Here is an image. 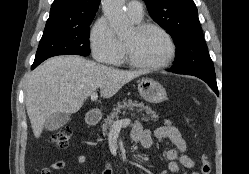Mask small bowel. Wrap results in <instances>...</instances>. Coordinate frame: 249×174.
<instances>
[{
    "mask_svg": "<svg viewBox=\"0 0 249 174\" xmlns=\"http://www.w3.org/2000/svg\"><path fill=\"white\" fill-rule=\"evenodd\" d=\"M154 136L161 142L166 143L171 146L168 149L164 156L168 163V170L172 173H177L180 167H185L191 169L195 165V161L187 153L188 147L183 139L180 131L171 124L170 121H164L163 125L158 127ZM132 138L135 142L140 144L146 149H151L153 145L152 133L148 129H144L140 123H135L132 129ZM78 164H85L87 162V157L85 155H78L75 158ZM67 166L66 162L63 160L55 161L51 164L50 168H44L41 171V174H52V171L63 170ZM114 169L109 162H106L105 168L101 174H113ZM192 174H198L193 172Z\"/></svg>",
    "mask_w": 249,
    "mask_h": 174,
    "instance_id": "c3829d8e",
    "label": "small bowel"
}]
</instances>
